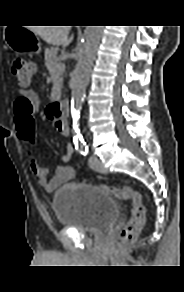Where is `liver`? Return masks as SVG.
<instances>
[{
  "label": "liver",
  "instance_id": "1",
  "mask_svg": "<svg viewBox=\"0 0 184 292\" xmlns=\"http://www.w3.org/2000/svg\"><path fill=\"white\" fill-rule=\"evenodd\" d=\"M71 26H35L30 30L39 35L46 43L66 47L72 41L68 39Z\"/></svg>",
  "mask_w": 184,
  "mask_h": 292
}]
</instances>
